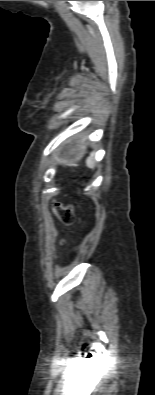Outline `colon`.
Here are the masks:
<instances>
[{
  "mask_svg": "<svg viewBox=\"0 0 155 395\" xmlns=\"http://www.w3.org/2000/svg\"><path fill=\"white\" fill-rule=\"evenodd\" d=\"M54 210L63 224L70 225L74 222L75 214L72 206L54 203Z\"/></svg>",
  "mask_w": 155,
  "mask_h": 395,
  "instance_id": "5ec220e1",
  "label": "colon"
}]
</instances>
